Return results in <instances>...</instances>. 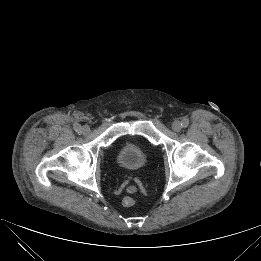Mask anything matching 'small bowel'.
<instances>
[{
    "instance_id": "obj_1",
    "label": "small bowel",
    "mask_w": 261,
    "mask_h": 261,
    "mask_svg": "<svg viewBox=\"0 0 261 261\" xmlns=\"http://www.w3.org/2000/svg\"><path fill=\"white\" fill-rule=\"evenodd\" d=\"M127 191H128L129 193H132V192L135 191V187H134V186H129V187H127Z\"/></svg>"
}]
</instances>
